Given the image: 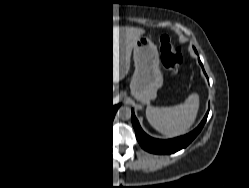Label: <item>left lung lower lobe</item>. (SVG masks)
Segmentation results:
<instances>
[{
  "label": "left lung lower lobe",
  "mask_w": 249,
  "mask_h": 188,
  "mask_svg": "<svg viewBox=\"0 0 249 188\" xmlns=\"http://www.w3.org/2000/svg\"><path fill=\"white\" fill-rule=\"evenodd\" d=\"M199 63L201 64L200 60H199ZM201 66L203 68L202 64ZM208 112L206 113L200 125L195 130H193L192 132L184 136H180V137L168 139V140H160V139H155V138L148 136L141 129L139 122L134 115L133 110H132V124L135 129L136 138L143 149H145L148 152L155 153V154H171V153H175L178 150H181L187 147L193 141V139L199 134V132L203 128V125L206 122V119L208 116Z\"/></svg>",
  "instance_id": "left-lung-lower-lobe-1"
}]
</instances>
